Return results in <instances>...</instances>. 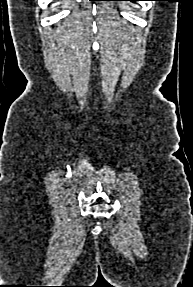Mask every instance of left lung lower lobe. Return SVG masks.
Listing matches in <instances>:
<instances>
[{
	"instance_id": "obj_1",
	"label": "left lung lower lobe",
	"mask_w": 193,
	"mask_h": 287,
	"mask_svg": "<svg viewBox=\"0 0 193 287\" xmlns=\"http://www.w3.org/2000/svg\"><path fill=\"white\" fill-rule=\"evenodd\" d=\"M125 1H132V2H136V1H146V0H125Z\"/></svg>"
}]
</instances>
